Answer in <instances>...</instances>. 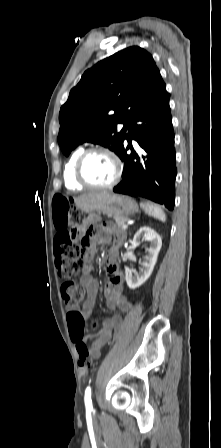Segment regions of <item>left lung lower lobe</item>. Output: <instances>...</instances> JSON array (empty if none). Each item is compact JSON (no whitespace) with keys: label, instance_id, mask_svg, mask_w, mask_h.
<instances>
[{"label":"left lung lower lobe","instance_id":"left-lung-lower-lobe-1","mask_svg":"<svg viewBox=\"0 0 221 448\" xmlns=\"http://www.w3.org/2000/svg\"><path fill=\"white\" fill-rule=\"evenodd\" d=\"M169 97L165 88L161 90L146 102L129 125L124 138L128 145H123L118 155L124 162L122 181L113 191L147 197L172 210L177 169ZM132 139L147 152L144 164L133 150ZM128 149H131L129 155Z\"/></svg>","mask_w":221,"mask_h":448}]
</instances>
